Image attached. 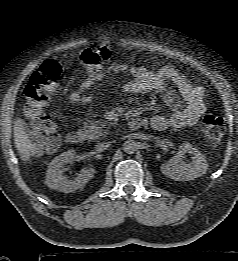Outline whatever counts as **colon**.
<instances>
[{
	"label": "colon",
	"mask_w": 238,
	"mask_h": 261,
	"mask_svg": "<svg viewBox=\"0 0 238 261\" xmlns=\"http://www.w3.org/2000/svg\"><path fill=\"white\" fill-rule=\"evenodd\" d=\"M110 60V52L105 47L87 48L81 54L83 65L93 74H100ZM62 74L61 65L55 60H47L35 71L25 87V114L39 145L47 150L59 146V132L56 123L45 112L50 94L56 89ZM201 129L211 144H217L226 131V120L218 113H206L201 120Z\"/></svg>",
	"instance_id": "colon-1"
}]
</instances>
